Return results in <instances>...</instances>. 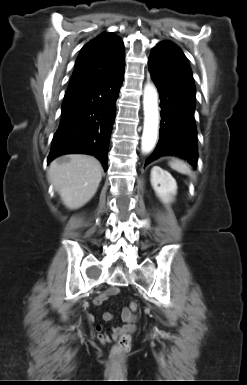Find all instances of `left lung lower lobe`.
<instances>
[{
  "mask_svg": "<svg viewBox=\"0 0 247 385\" xmlns=\"http://www.w3.org/2000/svg\"><path fill=\"white\" fill-rule=\"evenodd\" d=\"M148 68L161 99V122L158 145L145 166L160 156L176 155L196 167V90L187 58L177 45L164 41L152 49Z\"/></svg>",
  "mask_w": 247,
  "mask_h": 385,
  "instance_id": "1",
  "label": "left lung lower lobe"
}]
</instances>
